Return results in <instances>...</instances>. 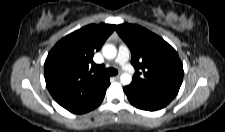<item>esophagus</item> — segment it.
Instances as JSON below:
<instances>
[{
  "label": "esophagus",
  "instance_id": "1",
  "mask_svg": "<svg viewBox=\"0 0 225 132\" xmlns=\"http://www.w3.org/2000/svg\"><path fill=\"white\" fill-rule=\"evenodd\" d=\"M119 78H120L119 75H116V76L112 77V79H113V80H116V81H118Z\"/></svg>",
  "mask_w": 225,
  "mask_h": 132
}]
</instances>
